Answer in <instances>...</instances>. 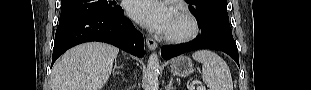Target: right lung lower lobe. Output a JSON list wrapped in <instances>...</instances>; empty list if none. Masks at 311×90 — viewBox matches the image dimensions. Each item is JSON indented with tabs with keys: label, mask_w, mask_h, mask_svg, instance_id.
Here are the masks:
<instances>
[{
	"label": "right lung lower lobe",
	"mask_w": 311,
	"mask_h": 90,
	"mask_svg": "<svg viewBox=\"0 0 311 90\" xmlns=\"http://www.w3.org/2000/svg\"><path fill=\"white\" fill-rule=\"evenodd\" d=\"M120 10L110 15H87L59 24L54 40L52 65L69 48L84 42L100 41L138 57L144 56L143 35Z\"/></svg>",
	"instance_id": "98d812e1"
}]
</instances>
